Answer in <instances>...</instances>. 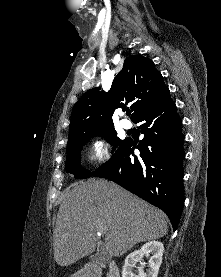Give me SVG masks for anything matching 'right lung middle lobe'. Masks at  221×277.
<instances>
[{"mask_svg":"<svg viewBox=\"0 0 221 277\" xmlns=\"http://www.w3.org/2000/svg\"><path fill=\"white\" fill-rule=\"evenodd\" d=\"M95 136L105 137L109 143L114 145L112 152L123 142L117 138L114 125L92 128L71 136L67 143L66 171L73 173L75 178L84 179L92 175L90 171L80 166V153L83 146Z\"/></svg>","mask_w":221,"mask_h":277,"instance_id":"1","label":"right lung middle lobe"}]
</instances>
